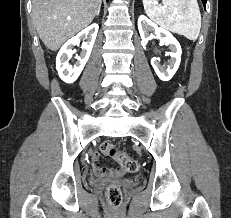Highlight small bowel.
Masks as SVG:
<instances>
[{
  "instance_id": "c3829d8e",
  "label": "small bowel",
  "mask_w": 231,
  "mask_h": 218,
  "mask_svg": "<svg viewBox=\"0 0 231 218\" xmlns=\"http://www.w3.org/2000/svg\"><path fill=\"white\" fill-rule=\"evenodd\" d=\"M92 167L95 175L100 177H119L124 174V169L121 167L109 168L102 166L99 152H95L92 156Z\"/></svg>"
}]
</instances>
